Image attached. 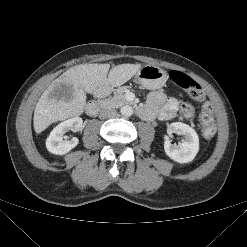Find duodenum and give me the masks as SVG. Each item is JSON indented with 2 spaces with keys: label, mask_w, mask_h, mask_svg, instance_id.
<instances>
[{
  "label": "duodenum",
  "mask_w": 247,
  "mask_h": 247,
  "mask_svg": "<svg viewBox=\"0 0 247 247\" xmlns=\"http://www.w3.org/2000/svg\"><path fill=\"white\" fill-rule=\"evenodd\" d=\"M111 90L110 83H104L97 90V99L91 100L85 107V111L89 116H95L102 109L103 105L101 100L105 98ZM136 111L139 115L144 116V108H136Z\"/></svg>",
  "instance_id": "410a0bca"
}]
</instances>
